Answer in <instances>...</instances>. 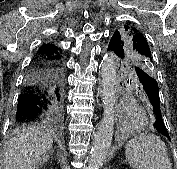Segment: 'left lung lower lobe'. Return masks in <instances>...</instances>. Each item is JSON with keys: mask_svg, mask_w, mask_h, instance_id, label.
<instances>
[{"mask_svg": "<svg viewBox=\"0 0 177 169\" xmlns=\"http://www.w3.org/2000/svg\"><path fill=\"white\" fill-rule=\"evenodd\" d=\"M108 50L111 51L115 56H117L114 47L111 44L108 46ZM134 69L136 75L138 76V86L142 90V92L145 93L151 111L154 115L155 118L153 123L154 129L158 133L170 139V136L165 127L164 120L161 114L160 101H159V88H158L157 81L143 68L136 65L134 66Z\"/></svg>", "mask_w": 177, "mask_h": 169, "instance_id": "obj_1", "label": "left lung lower lobe"}]
</instances>
